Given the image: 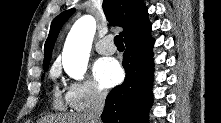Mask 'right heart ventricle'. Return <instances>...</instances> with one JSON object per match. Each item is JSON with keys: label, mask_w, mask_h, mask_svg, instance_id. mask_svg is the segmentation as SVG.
Wrapping results in <instances>:
<instances>
[{"label": "right heart ventricle", "mask_w": 221, "mask_h": 123, "mask_svg": "<svg viewBox=\"0 0 221 123\" xmlns=\"http://www.w3.org/2000/svg\"><path fill=\"white\" fill-rule=\"evenodd\" d=\"M53 107L58 110H63L65 108L64 99L57 87H55L53 91Z\"/></svg>", "instance_id": "e07e8e85"}]
</instances>
